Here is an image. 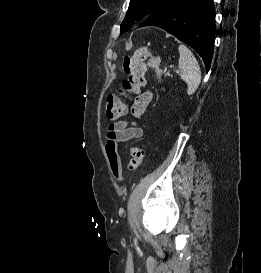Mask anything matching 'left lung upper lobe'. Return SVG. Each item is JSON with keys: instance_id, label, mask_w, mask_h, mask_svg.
I'll use <instances>...</instances> for the list:
<instances>
[{"instance_id": "5c2ea615", "label": "left lung upper lobe", "mask_w": 261, "mask_h": 273, "mask_svg": "<svg viewBox=\"0 0 261 273\" xmlns=\"http://www.w3.org/2000/svg\"><path fill=\"white\" fill-rule=\"evenodd\" d=\"M171 0H131L129 9L121 23L120 34L130 29L134 22L141 20L147 14H153L164 8Z\"/></svg>"}]
</instances>
